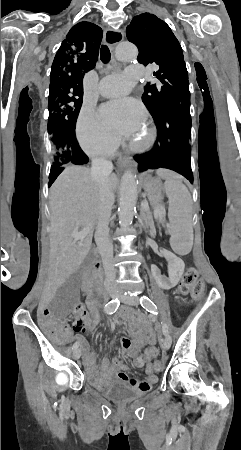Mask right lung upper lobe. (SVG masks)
I'll list each match as a JSON object with an SVG mask.
<instances>
[{
	"instance_id": "obj_1",
	"label": "right lung upper lobe",
	"mask_w": 241,
	"mask_h": 450,
	"mask_svg": "<svg viewBox=\"0 0 241 450\" xmlns=\"http://www.w3.org/2000/svg\"><path fill=\"white\" fill-rule=\"evenodd\" d=\"M102 29L90 22L74 25L57 51L50 73V88L69 85L83 89V77L95 67Z\"/></svg>"
}]
</instances>
